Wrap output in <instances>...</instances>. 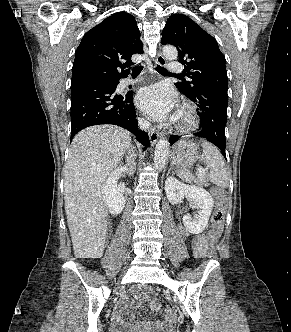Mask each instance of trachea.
I'll list each match as a JSON object with an SVG mask.
<instances>
[{
  "label": "trachea",
  "instance_id": "1",
  "mask_svg": "<svg viewBox=\"0 0 291 332\" xmlns=\"http://www.w3.org/2000/svg\"><path fill=\"white\" fill-rule=\"evenodd\" d=\"M142 69H143V66H135L132 69V74L133 75H138V74H140V72L142 71ZM156 71H158L161 74L172 75L171 73H169L168 71H166L164 68H162L160 65H157Z\"/></svg>",
  "mask_w": 291,
  "mask_h": 332
}]
</instances>
